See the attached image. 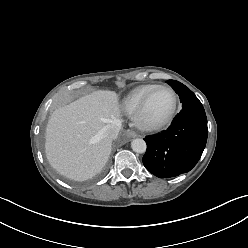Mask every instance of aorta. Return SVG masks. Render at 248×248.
<instances>
[{"instance_id":"aorta-1","label":"aorta","mask_w":248,"mask_h":248,"mask_svg":"<svg viewBox=\"0 0 248 248\" xmlns=\"http://www.w3.org/2000/svg\"><path fill=\"white\" fill-rule=\"evenodd\" d=\"M131 148L136 153H144L146 151L147 146L143 139L137 138L131 142Z\"/></svg>"}]
</instances>
